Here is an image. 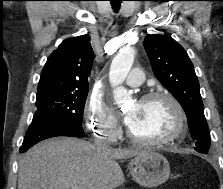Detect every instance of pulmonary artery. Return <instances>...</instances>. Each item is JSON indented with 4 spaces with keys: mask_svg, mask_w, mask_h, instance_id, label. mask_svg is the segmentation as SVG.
<instances>
[{
    "mask_svg": "<svg viewBox=\"0 0 223 189\" xmlns=\"http://www.w3.org/2000/svg\"><path fill=\"white\" fill-rule=\"evenodd\" d=\"M144 81L143 71L139 68H134L131 70L127 78L125 79V83L131 87H138Z\"/></svg>",
    "mask_w": 223,
    "mask_h": 189,
    "instance_id": "pulmonary-artery-1",
    "label": "pulmonary artery"
}]
</instances>
